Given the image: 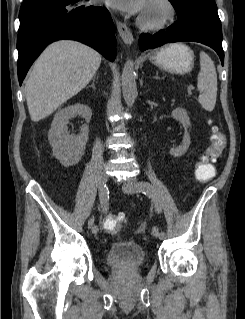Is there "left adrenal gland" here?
<instances>
[{
  "mask_svg": "<svg viewBox=\"0 0 245 319\" xmlns=\"http://www.w3.org/2000/svg\"><path fill=\"white\" fill-rule=\"evenodd\" d=\"M155 79H162L158 76V71H156V75L154 76Z\"/></svg>",
  "mask_w": 245,
  "mask_h": 319,
  "instance_id": "a2214340",
  "label": "left adrenal gland"
}]
</instances>
